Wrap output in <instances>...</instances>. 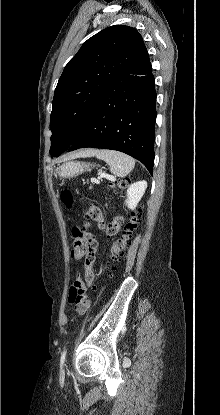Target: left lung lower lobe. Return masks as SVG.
<instances>
[{
	"instance_id": "1",
	"label": "left lung lower lobe",
	"mask_w": 220,
	"mask_h": 415,
	"mask_svg": "<svg viewBox=\"0 0 220 415\" xmlns=\"http://www.w3.org/2000/svg\"><path fill=\"white\" fill-rule=\"evenodd\" d=\"M155 120V80L149 62L111 84L68 152L85 147L121 151L142 162L152 175Z\"/></svg>"
}]
</instances>
